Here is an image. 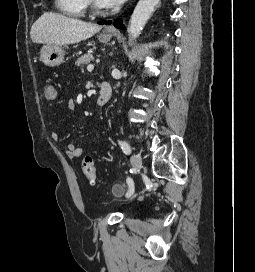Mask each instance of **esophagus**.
I'll use <instances>...</instances> for the list:
<instances>
[{
    "label": "esophagus",
    "instance_id": "obj_1",
    "mask_svg": "<svg viewBox=\"0 0 255 272\" xmlns=\"http://www.w3.org/2000/svg\"><path fill=\"white\" fill-rule=\"evenodd\" d=\"M106 31H107V32H110V33H113V32H116V29H115L113 26H111V27H108V28L106 29Z\"/></svg>",
    "mask_w": 255,
    "mask_h": 272
}]
</instances>
